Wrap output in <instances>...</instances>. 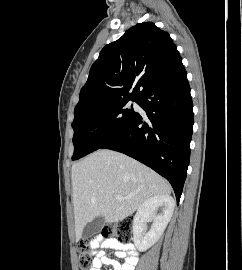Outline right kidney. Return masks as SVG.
I'll return each instance as SVG.
<instances>
[{
  "instance_id": "1",
  "label": "right kidney",
  "mask_w": 242,
  "mask_h": 270,
  "mask_svg": "<svg viewBox=\"0 0 242 270\" xmlns=\"http://www.w3.org/2000/svg\"><path fill=\"white\" fill-rule=\"evenodd\" d=\"M159 207H162V212L157 214ZM174 207L175 201L170 195H156L140 205L133 220L134 244L139 251L147 250L158 241L172 217ZM148 219H153V224L146 232Z\"/></svg>"
}]
</instances>
